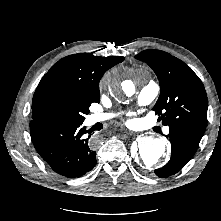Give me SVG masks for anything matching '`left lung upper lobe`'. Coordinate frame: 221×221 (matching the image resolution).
Listing matches in <instances>:
<instances>
[{"label": "left lung upper lobe", "mask_w": 221, "mask_h": 221, "mask_svg": "<svg viewBox=\"0 0 221 221\" xmlns=\"http://www.w3.org/2000/svg\"><path fill=\"white\" fill-rule=\"evenodd\" d=\"M146 62L160 83V96L153 107L164 125L202 135L207 126V96L203 83L180 59L160 50H144L135 56Z\"/></svg>", "instance_id": "obj_1"}]
</instances>
